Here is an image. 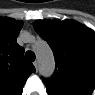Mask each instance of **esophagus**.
<instances>
[{
	"instance_id": "obj_1",
	"label": "esophagus",
	"mask_w": 95,
	"mask_h": 95,
	"mask_svg": "<svg viewBox=\"0 0 95 95\" xmlns=\"http://www.w3.org/2000/svg\"><path fill=\"white\" fill-rule=\"evenodd\" d=\"M34 66H35V68H36V70H38V68H39V63H38V61H34Z\"/></svg>"
}]
</instances>
